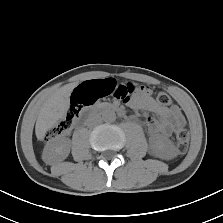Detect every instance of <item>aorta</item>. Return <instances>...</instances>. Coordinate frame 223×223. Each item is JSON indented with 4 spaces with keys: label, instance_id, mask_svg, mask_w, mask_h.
<instances>
[{
    "label": "aorta",
    "instance_id": "aorta-1",
    "mask_svg": "<svg viewBox=\"0 0 223 223\" xmlns=\"http://www.w3.org/2000/svg\"><path fill=\"white\" fill-rule=\"evenodd\" d=\"M102 120L108 123L114 122L116 120L115 112L112 110H104L102 112Z\"/></svg>",
    "mask_w": 223,
    "mask_h": 223
}]
</instances>
